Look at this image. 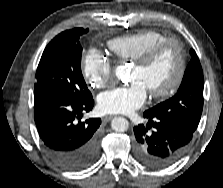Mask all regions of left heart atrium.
Wrapping results in <instances>:
<instances>
[{
  "label": "left heart atrium",
  "mask_w": 223,
  "mask_h": 188,
  "mask_svg": "<svg viewBox=\"0 0 223 188\" xmlns=\"http://www.w3.org/2000/svg\"><path fill=\"white\" fill-rule=\"evenodd\" d=\"M147 90L139 81L117 86L102 92L97 99L98 110L103 114H128L146 101Z\"/></svg>",
  "instance_id": "1"
}]
</instances>
